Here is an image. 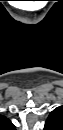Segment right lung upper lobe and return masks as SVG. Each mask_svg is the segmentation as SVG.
I'll use <instances>...</instances> for the list:
<instances>
[{
  "label": "right lung upper lobe",
  "mask_w": 63,
  "mask_h": 130,
  "mask_svg": "<svg viewBox=\"0 0 63 130\" xmlns=\"http://www.w3.org/2000/svg\"><path fill=\"white\" fill-rule=\"evenodd\" d=\"M0 121H1V125L3 127H6L8 130L15 129V126L11 123V121L8 118L1 116Z\"/></svg>",
  "instance_id": "right-lung-upper-lobe-1"
}]
</instances>
